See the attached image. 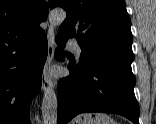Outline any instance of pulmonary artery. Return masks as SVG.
Wrapping results in <instances>:
<instances>
[{
	"mask_svg": "<svg viewBox=\"0 0 156 124\" xmlns=\"http://www.w3.org/2000/svg\"><path fill=\"white\" fill-rule=\"evenodd\" d=\"M68 45L71 47V49L73 50V52L79 57L81 55V47L79 46V44L77 43V41L75 39H70L68 41Z\"/></svg>",
	"mask_w": 156,
	"mask_h": 124,
	"instance_id": "e3ab8cb5",
	"label": "pulmonary artery"
}]
</instances>
